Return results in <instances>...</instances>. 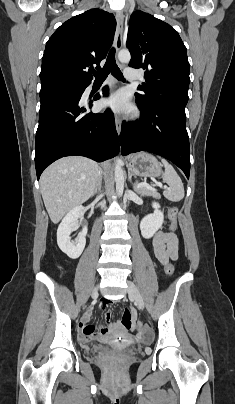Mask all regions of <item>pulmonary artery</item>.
Listing matches in <instances>:
<instances>
[{"instance_id":"1","label":"pulmonary artery","mask_w":235,"mask_h":404,"mask_svg":"<svg viewBox=\"0 0 235 404\" xmlns=\"http://www.w3.org/2000/svg\"><path fill=\"white\" fill-rule=\"evenodd\" d=\"M124 74H125V77L128 79H138L139 78L138 72L132 68H126L124 70Z\"/></svg>"}]
</instances>
